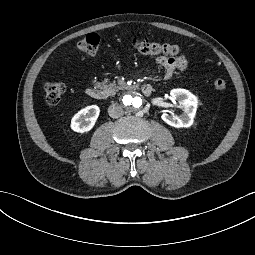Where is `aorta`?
Listing matches in <instances>:
<instances>
[{
	"instance_id": "aorta-1",
	"label": "aorta",
	"mask_w": 255,
	"mask_h": 255,
	"mask_svg": "<svg viewBox=\"0 0 255 255\" xmlns=\"http://www.w3.org/2000/svg\"><path fill=\"white\" fill-rule=\"evenodd\" d=\"M123 102L127 108L132 109V110H138L144 104L143 98L141 97L140 94H138L136 92H132V93L125 95L123 97Z\"/></svg>"
}]
</instances>
